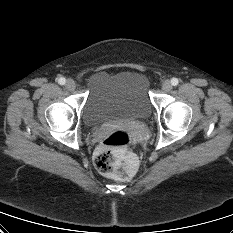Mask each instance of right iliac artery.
Segmentation results:
<instances>
[{
  "mask_svg": "<svg viewBox=\"0 0 233 233\" xmlns=\"http://www.w3.org/2000/svg\"><path fill=\"white\" fill-rule=\"evenodd\" d=\"M58 83H59L60 85H64V84L66 83V79H65L64 77H60V78L58 79Z\"/></svg>",
  "mask_w": 233,
  "mask_h": 233,
  "instance_id": "obj_1",
  "label": "right iliac artery"
}]
</instances>
